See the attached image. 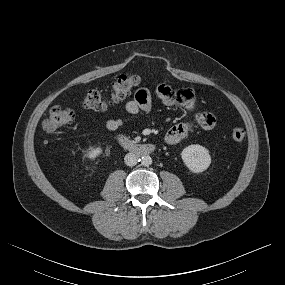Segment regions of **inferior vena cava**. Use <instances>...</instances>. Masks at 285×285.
<instances>
[{
    "label": "inferior vena cava",
    "instance_id": "1",
    "mask_svg": "<svg viewBox=\"0 0 285 285\" xmlns=\"http://www.w3.org/2000/svg\"><path fill=\"white\" fill-rule=\"evenodd\" d=\"M124 161L128 166H135L137 164L138 157L134 153H128L125 155Z\"/></svg>",
    "mask_w": 285,
    "mask_h": 285
}]
</instances>
